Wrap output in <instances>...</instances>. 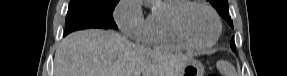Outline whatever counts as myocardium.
Wrapping results in <instances>:
<instances>
[{
  "mask_svg": "<svg viewBox=\"0 0 287 76\" xmlns=\"http://www.w3.org/2000/svg\"><path fill=\"white\" fill-rule=\"evenodd\" d=\"M192 7H201L207 10L213 17L216 24V33L214 37L208 42L204 44H198L189 39L187 34L183 28V17L186 12ZM172 29L178 40L184 44L187 48L196 49V50H204L213 47L222 34V22L217 14V12L208 4L200 1H188L185 0L183 4H181L173 13L172 16Z\"/></svg>",
  "mask_w": 287,
  "mask_h": 76,
  "instance_id": "myocardium-1",
  "label": "myocardium"
}]
</instances>
